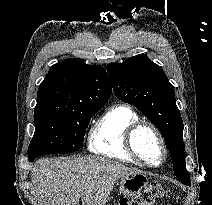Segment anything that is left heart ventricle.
<instances>
[{
    "label": "left heart ventricle",
    "instance_id": "1",
    "mask_svg": "<svg viewBox=\"0 0 212 205\" xmlns=\"http://www.w3.org/2000/svg\"><path fill=\"white\" fill-rule=\"evenodd\" d=\"M135 144L138 152L147 161L151 163H158L161 160V147L150 130H141L136 136Z\"/></svg>",
    "mask_w": 212,
    "mask_h": 205
}]
</instances>
